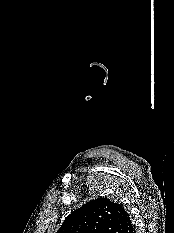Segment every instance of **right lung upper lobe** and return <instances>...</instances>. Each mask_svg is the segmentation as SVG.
I'll use <instances>...</instances> for the list:
<instances>
[{"instance_id":"1","label":"right lung upper lobe","mask_w":174,"mask_h":233,"mask_svg":"<svg viewBox=\"0 0 174 233\" xmlns=\"http://www.w3.org/2000/svg\"><path fill=\"white\" fill-rule=\"evenodd\" d=\"M57 233H135L121 204L99 197L73 211Z\"/></svg>"}]
</instances>
